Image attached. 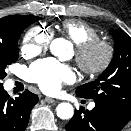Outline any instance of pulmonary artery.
Returning a JSON list of instances; mask_svg holds the SVG:
<instances>
[{"instance_id":"1","label":"pulmonary artery","mask_w":131,"mask_h":131,"mask_svg":"<svg viewBox=\"0 0 131 131\" xmlns=\"http://www.w3.org/2000/svg\"><path fill=\"white\" fill-rule=\"evenodd\" d=\"M94 106H95V103H90V104H89V108H90V109L94 108Z\"/></svg>"}]
</instances>
